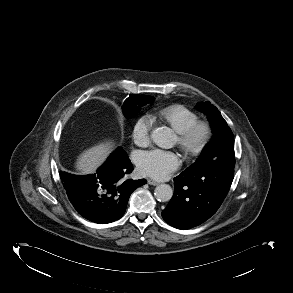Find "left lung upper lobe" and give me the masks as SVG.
I'll return each instance as SVG.
<instances>
[{
    "label": "left lung upper lobe",
    "mask_w": 293,
    "mask_h": 293,
    "mask_svg": "<svg viewBox=\"0 0 293 293\" xmlns=\"http://www.w3.org/2000/svg\"><path fill=\"white\" fill-rule=\"evenodd\" d=\"M196 108L208 115L214 136L211 143L202 151L197 161L186 170H219L229 165L234 166L233 134L220 111L209 101L198 103Z\"/></svg>",
    "instance_id": "5c2ea615"
}]
</instances>
